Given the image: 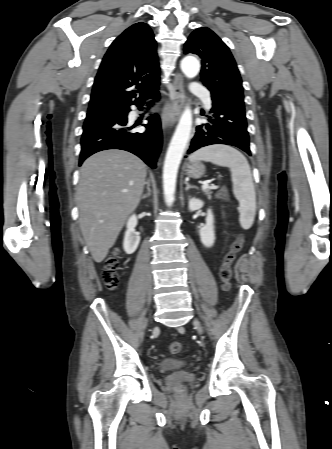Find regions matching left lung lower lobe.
<instances>
[{
	"label": "left lung lower lobe",
	"instance_id": "1",
	"mask_svg": "<svg viewBox=\"0 0 332 449\" xmlns=\"http://www.w3.org/2000/svg\"><path fill=\"white\" fill-rule=\"evenodd\" d=\"M208 123L196 127L188 154L212 144L236 146L251 155L245 111L213 102Z\"/></svg>",
	"mask_w": 332,
	"mask_h": 449
}]
</instances>
